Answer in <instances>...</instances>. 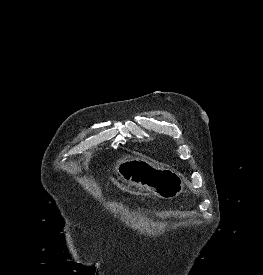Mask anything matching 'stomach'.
Returning <instances> with one entry per match:
<instances>
[{"mask_svg": "<svg viewBox=\"0 0 263 275\" xmlns=\"http://www.w3.org/2000/svg\"><path fill=\"white\" fill-rule=\"evenodd\" d=\"M115 174L119 180L158 198L173 199L183 192L182 176L173 169L156 166L147 160L128 157L121 160Z\"/></svg>", "mask_w": 263, "mask_h": 275, "instance_id": "0dacf381", "label": "stomach"}]
</instances>
